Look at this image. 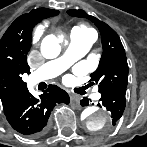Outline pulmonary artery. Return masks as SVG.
Listing matches in <instances>:
<instances>
[{
  "label": "pulmonary artery",
  "instance_id": "1",
  "mask_svg": "<svg viewBox=\"0 0 147 147\" xmlns=\"http://www.w3.org/2000/svg\"><path fill=\"white\" fill-rule=\"evenodd\" d=\"M94 41V35L73 30L67 51L60 58L45 63L32 74L29 79V86H34L41 81L60 75L76 60L84 56L90 50ZM99 97V93L94 94V98L97 99Z\"/></svg>",
  "mask_w": 147,
  "mask_h": 147
}]
</instances>
